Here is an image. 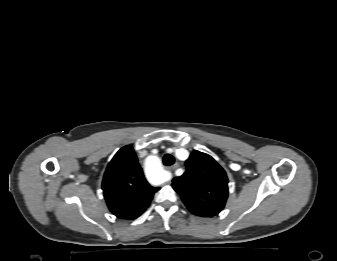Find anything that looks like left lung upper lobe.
Segmentation results:
<instances>
[{
	"mask_svg": "<svg viewBox=\"0 0 337 261\" xmlns=\"http://www.w3.org/2000/svg\"><path fill=\"white\" fill-rule=\"evenodd\" d=\"M185 164L186 172L173 179L172 187L194 215H217L228 196L225 171L211 156L199 151L191 153Z\"/></svg>",
	"mask_w": 337,
	"mask_h": 261,
	"instance_id": "5c2ea615",
	"label": "left lung upper lobe"
}]
</instances>
